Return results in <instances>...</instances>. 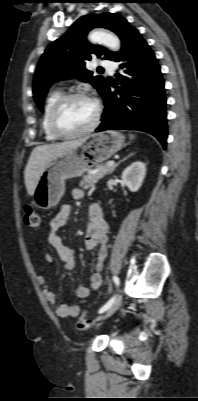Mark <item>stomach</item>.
Here are the masks:
<instances>
[{"mask_svg": "<svg viewBox=\"0 0 198 401\" xmlns=\"http://www.w3.org/2000/svg\"><path fill=\"white\" fill-rule=\"evenodd\" d=\"M124 140L118 131L94 133L53 158L38 180L34 191L35 204L45 210L56 206L64 195L67 179L80 177L109 159L123 147Z\"/></svg>", "mask_w": 198, "mask_h": 401, "instance_id": "1", "label": "stomach"}]
</instances>
